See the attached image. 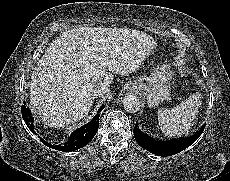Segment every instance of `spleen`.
I'll list each match as a JSON object with an SVG mask.
<instances>
[{
  "instance_id": "spleen-1",
  "label": "spleen",
  "mask_w": 230,
  "mask_h": 181,
  "mask_svg": "<svg viewBox=\"0 0 230 181\" xmlns=\"http://www.w3.org/2000/svg\"><path fill=\"white\" fill-rule=\"evenodd\" d=\"M200 105V94L194 93L171 109L161 108L158 111L161 131L167 136H180L188 132Z\"/></svg>"
}]
</instances>
